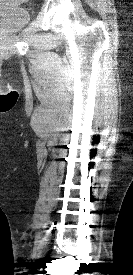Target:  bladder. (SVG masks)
Returning a JSON list of instances; mask_svg holds the SVG:
<instances>
[{
    "instance_id": "obj_1",
    "label": "bladder",
    "mask_w": 133,
    "mask_h": 275,
    "mask_svg": "<svg viewBox=\"0 0 133 275\" xmlns=\"http://www.w3.org/2000/svg\"><path fill=\"white\" fill-rule=\"evenodd\" d=\"M17 2L18 0H0V29L14 32L28 23L29 11L17 6Z\"/></svg>"
}]
</instances>
